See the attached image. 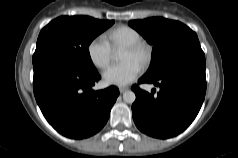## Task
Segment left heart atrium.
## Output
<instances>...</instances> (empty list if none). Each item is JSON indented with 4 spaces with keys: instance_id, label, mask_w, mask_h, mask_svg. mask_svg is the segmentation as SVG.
Wrapping results in <instances>:
<instances>
[{
    "instance_id": "1",
    "label": "left heart atrium",
    "mask_w": 238,
    "mask_h": 158,
    "mask_svg": "<svg viewBox=\"0 0 238 158\" xmlns=\"http://www.w3.org/2000/svg\"><path fill=\"white\" fill-rule=\"evenodd\" d=\"M140 71L141 65L138 62L127 60L108 67L103 73V79L109 85L124 86L132 82Z\"/></svg>"
}]
</instances>
